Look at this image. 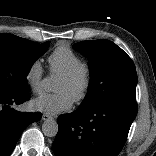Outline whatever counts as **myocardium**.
<instances>
[{
	"mask_svg": "<svg viewBox=\"0 0 156 156\" xmlns=\"http://www.w3.org/2000/svg\"><path fill=\"white\" fill-rule=\"evenodd\" d=\"M60 78L68 82L79 84L78 91L73 98L75 103H80L86 99L90 92L93 80L92 71L87 64H79L72 70L61 74Z\"/></svg>",
	"mask_w": 156,
	"mask_h": 156,
	"instance_id": "obj_1",
	"label": "myocardium"
}]
</instances>
